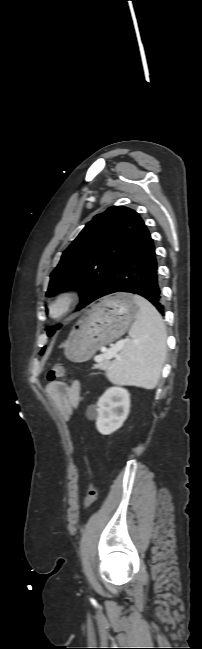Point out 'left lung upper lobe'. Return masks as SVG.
<instances>
[{"mask_svg": "<svg viewBox=\"0 0 202 649\" xmlns=\"http://www.w3.org/2000/svg\"><path fill=\"white\" fill-rule=\"evenodd\" d=\"M143 224L137 212L123 206H113L96 215L63 252L50 275L46 296L79 290L81 303L77 309L96 300L110 271ZM60 327L48 328V336Z\"/></svg>", "mask_w": 202, "mask_h": 649, "instance_id": "1", "label": "left lung upper lobe"}]
</instances>
